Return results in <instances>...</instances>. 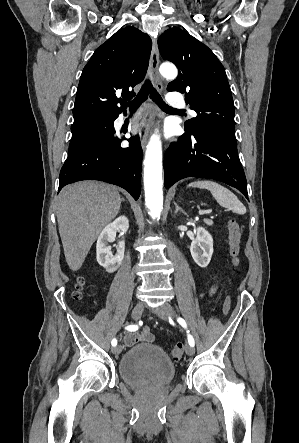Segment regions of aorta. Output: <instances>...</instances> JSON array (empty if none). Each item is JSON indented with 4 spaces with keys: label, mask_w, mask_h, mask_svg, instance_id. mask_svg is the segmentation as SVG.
Here are the masks:
<instances>
[{
    "label": "aorta",
    "mask_w": 299,
    "mask_h": 443,
    "mask_svg": "<svg viewBox=\"0 0 299 443\" xmlns=\"http://www.w3.org/2000/svg\"><path fill=\"white\" fill-rule=\"evenodd\" d=\"M159 71L166 79H174L178 73L172 64H162ZM162 187V147L159 135L154 134L147 146L144 160L145 204L153 219H159L163 209Z\"/></svg>",
    "instance_id": "obj_1"
}]
</instances>
